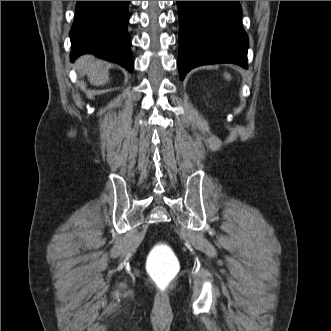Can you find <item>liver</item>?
I'll return each instance as SVG.
<instances>
[{
	"instance_id": "1",
	"label": "liver",
	"mask_w": 331,
	"mask_h": 331,
	"mask_svg": "<svg viewBox=\"0 0 331 331\" xmlns=\"http://www.w3.org/2000/svg\"><path fill=\"white\" fill-rule=\"evenodd\" d=\"M76 68L88 76L91 84L99 86L104 85L109 80L106 62L91 56H81L76 61Z\"/></svg>"
}]
</instances>
